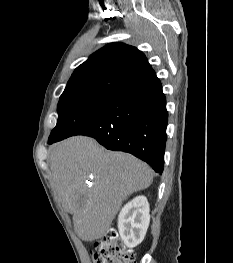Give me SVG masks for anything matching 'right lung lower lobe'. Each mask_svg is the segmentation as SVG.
Masks as SVG:
<instances>
[{"label": "right lung lower lobe", "instance_id": "right-lung-lower-lobe-1", "mask_svg": "<svg viewBox=\"0 0 233 263\" xmlns=\"http://www.w3.org/2000/svg\"><path fill=\"white\" fill-rule=\"evenodd\" d=\"M168 112L157 77L119 93L107 110L75 135L95 138L110 150L124 151L162 173ZM60 141H48L49 144Z\"/></svg>", "mask_w": 233, "mask_h": 263}]
</instances>
